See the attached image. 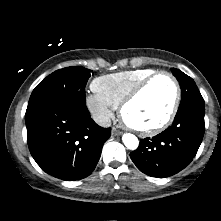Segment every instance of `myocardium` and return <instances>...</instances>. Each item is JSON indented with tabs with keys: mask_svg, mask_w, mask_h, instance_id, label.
Returning a JSON list of instances; mask_svg holds the SVG:
<instances>
[{
	"mask_svg": "<svg viewBox=\"0 0 221 221\" xmlns=\"http://www.w3.org/2000/svg\"><path fill=\"white\" fill-rule=\"evenodd\" d=\"M159 76L168 77L174 86L175 95L169 113L167 114V116L164 118L163 121L150 128H138L131 125L125 118V111L127 107L131 103H133L141 95V93L147 88V86ZM180 101H181V88L176 77L168 71H156L151 75H149L148 77H146L145 79H143L140 83H138L122 100L119 106L120 117L127 128L136 132L140 136H154L164 131L173 122L177 114V111L179 109Z\"/></svg>",
	"mask_w": 221,
	"mask_h": 221,
	"instance_id": "1",
	"label": "myocardium"
}]
</instances>
